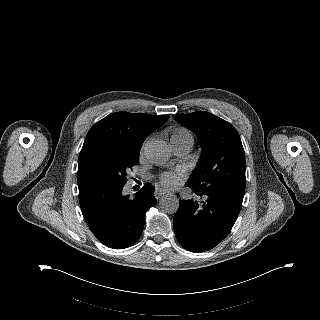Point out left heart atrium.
<instances>
[{
    "mask_svg": "<svg viewBox=\"0 0 320 320\" xmlns=\"http://www.w3.org/2000/svg\"><path fill=\"white\" fill-rule=\"evenodd\" d=\"M184 178V173L181 171L164 172L160 175L159 181L162 186L168 189H175L180 185Z\"/></svg>",
    "mask_w": 320,
    "mask_h": 320,
    "instance_id": "left-heart-atrium-1",
    "label": "left heart atrium"
}]
</instances>
